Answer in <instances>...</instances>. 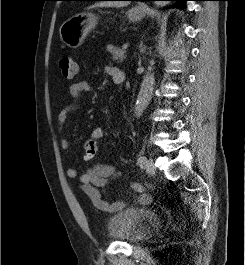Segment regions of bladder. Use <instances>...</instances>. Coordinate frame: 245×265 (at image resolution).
<instances>
[{"instance_id": "31cf9c89", "label": "bladder", "mask_w": 245, "mask_h": 265, "mask_svg": "<svg viewBox=\"0 0 245 265\" xmlns=\"http://www.w3.org/2000/svg\"><path fill=\"white\" fill-rule=\"evenodd\" d=\"M159 216L148 207H133L112 215L107 224L110 238L127 243L148 239L158 227Z\"/></svg>"}]
</instances>
